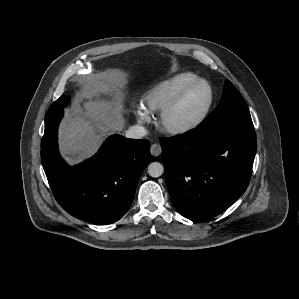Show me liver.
Masks as SVG:
<instances>
[{
	"instance_id": "obj_1",
	"label": "liver",
	"mask_w": 299,
	"mask_h": 299,
	"mask_svg": "<svg viewBox=\"0 0 299 299\" xmlns=\"http://www.w3.org/2000/svg\"><path fill=\"white\" fill-rule=\"evenodd\" d=\"M85 89L91 95L83 101L82 109L76 105V114L66 117L59 137L60 149L77 162L90 156L109 130H121L124 124L121 112L125 91L119 78L106 73L92 75L85 79Z\"/></svg>"
}]
</instances>
